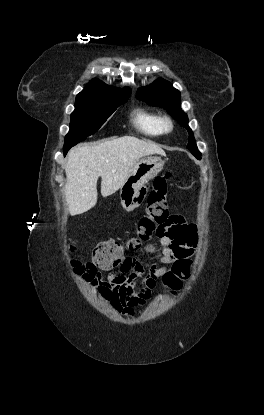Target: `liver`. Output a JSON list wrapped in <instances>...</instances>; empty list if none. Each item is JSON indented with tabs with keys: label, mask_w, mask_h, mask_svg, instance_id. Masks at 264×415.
I'll return each instance as SVG.
<instances>
[{
	"label": "liver",
	"mask_w": 264,
	"mask_h": 415,
	"mask_svg": "<svg viewBox=\"0 0 264 415\" xmlns=\"http://www.w3.org/2000/svg\"><path fill=\"white\" fill-rule=\"evenodd\" d=\"M153 154L165 155L161 147L132 136L77 146L68 153L64 195L71 215H79L97 203V180L107 197L126 182L136 163Z\"/></svg>",
	"instance_id": "obj_1"
}]
</instances>
